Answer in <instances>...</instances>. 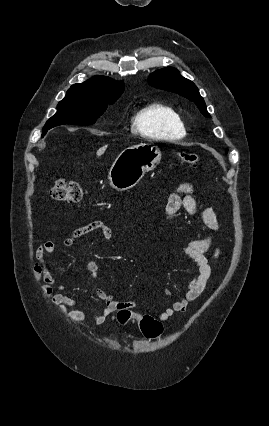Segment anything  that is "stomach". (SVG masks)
I'll return each mask as SVG.
<instances>
[{
  "mask_svg": "<svg viewBox=\"0 0 269 426\" xmlns=\"http://www.w3.org/2000/svg\"><path fill=\"white\" fill-rule=\"evenodd\" d=\"M161 160L157 146L141 143L125 149L110 168V186L117 191L128 190L139 183L146 172L153 170Z\"/></svg>",
  "mask_w": 269,
  "mask_h": 426,
  "instance_id": "1",
  "label": "stomach"
}]
</instances>
